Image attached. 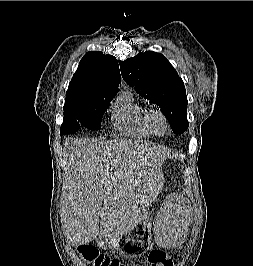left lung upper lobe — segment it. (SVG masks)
Returning <instances> with one entry per match:
<instances>
[{
    "mask_svg": "<svg viewBox=\"0 0 253 266\" xmlns=\"http://www.w3.org/2000/svg\"><path fill=\"white\" fill-rule=\"evenodd\" d=\"M120 69L128 85L161 108L175 134L188 128L184 83L162 54L139 53L120 63Z\"/></svg>",
    "mask_w": 253,
    "mask_h": 266,
    "instance_id": "1",
    "label": "left lung upper lobe"
}]
</instances>
